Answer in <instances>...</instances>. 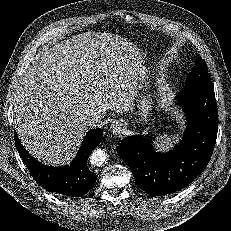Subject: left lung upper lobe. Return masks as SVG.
<instances>
[{"instance_id": "1", "label": "left lung upper lobe", "mask_w": 231, "mask_h": 231, "mask_svg": "<svg viewBox=\"0 0 231 231\" xmlns=\"http://www.w3.org/2000/svg\"><path fill=\"white\" fill-rule=\"evenodd\" d=\"M187 85H201L213 87L208 68L205 62L198 57L195 62V69L190 73Z\"/></svg>"}]
</instances>
